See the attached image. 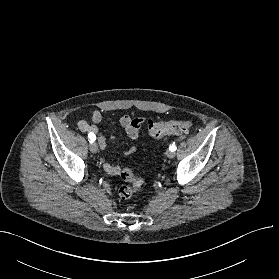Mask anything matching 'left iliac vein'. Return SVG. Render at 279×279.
Wrapping results in <instances>:
<instances>
[{
  "mask_svg": "<svg viewBox=\"0 0 279 279\" xmlns=\"http://www.w3.org/2000/svg\"><path fill=\"white\" fill-rule=\"evenodd\" d=\"M166 156H167L168 158H173V157H175V152H174V151H171V150H168V151L166 152Z\"/></svg>",
  "mask_w": 279,
  "mask_h": 279,
  "instance_id": "1",
  "label": "left iliac vein"
}]
</instances>
